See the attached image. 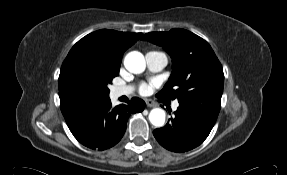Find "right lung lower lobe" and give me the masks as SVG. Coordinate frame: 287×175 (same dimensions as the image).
Segmentation results:
<instances>
[{
  "label": "right lung lower lobe",
  "instance_id": "98d812e1",
  "mask_svg": "<svg viewBox=\"0 0 287 175\" xmlns=\"http://www.w3.org/2000/svg\"><path fill=\"white\" fill-rule=\"evenodd\" d=\"M112 107L109 98L93 107L64 116L74 137L84 146L93 150H105L113 147L123 137L126 122L132 113L142 112L145 102L139 98Z\"/></svg>",
  "mask_w": 287,
  "mask_h": 175
}]
</instances>
